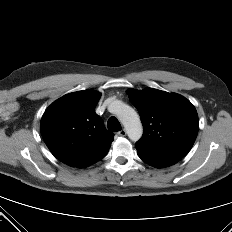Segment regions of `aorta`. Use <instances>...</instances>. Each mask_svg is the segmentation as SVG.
<instances>
[{
    "label": "aorta",
    "mask_w": 232,
    "mask_h": 232,
    "mask_svg": "<svg viewBox=\"0 0 232 232\" xmlns=\"http://www.w3.org/2000/svg\"><path fill=\"white\" fill-rule=\"evenodd\" d=\"M111 112L114 113L123 124L128 137L136 142L143 133V127L137 112L122 101L116 100L111 104Z\"/></svg>",
    "instance_id": "762f6f07"
}]
</instances>
